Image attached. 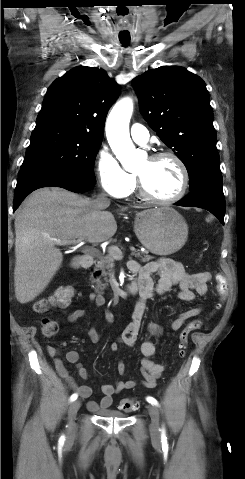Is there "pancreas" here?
Returning a JSON list of instances; mask_svg holds the SVG:
<instances>
[{"label":"pancreas","mask_w":245,"mask_h":479,"mask_svg":"<svg viewBox=\"0 0 245 479\" xmlns=\"http://www.w3.org/2000/svg\"><path fill=\"white\" fill-rule=\"evenodd\" d=\"M133 255L136 258H141L142 262H148L149 260L153 258L151 255L147 254V251L144 253H134ZM97 259L98 261L96 264L95 271H100V276L104 277V280L106 281V283H102V281L100 280V277L92 278V282L96 283L97 290L103 291L108 286L107 276L110 275V271L113 268L114 258L110 254L108 255L98 254Z\"/></svg>","instance_id":"cf45deb5"}]
</instances>
